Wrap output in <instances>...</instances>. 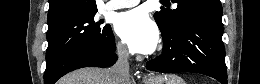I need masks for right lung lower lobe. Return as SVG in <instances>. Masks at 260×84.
<instances>
[{
    "label": "right lung lower lobe",
    "mask_w": 260,
    "mask_h": 84,
    "mask_svg": "<svg viewBox=\"0 0 260 84\" xmlns=\"http://www.w3.org/2000/svg\"><path fill=\"white\" fill-rule=\"evenodd\" d=\"M115 39L109 48L82 47L64 55L51 68L45 70L44 84H54L60 77L83 67H108L115 63L117 56Z\"/></svg>",
    "instance_id": "obj_1"
}]
</instances>
